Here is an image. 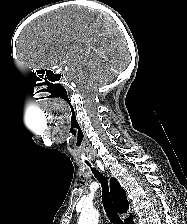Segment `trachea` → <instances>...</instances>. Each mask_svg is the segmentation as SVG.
Wrapping results in <instances>:
<instances>
[{"mask_svg":"<svg viewBox=\"0 0 187 224\" xmlns=\"http://www.w3.org/2000/svg\"><path fill=\"white\" fill-rule=\"evenodd\" d=\"M88 166L91 167L89 162H86ZM94 176L98 179L102 187V202L104 209L107 213V216L112 224H123L120 216L117 213V210L111 200L110 193H109V186L108 181L96 168H91Z\"/></svg>","mask_w":187,"mask_h":224,"instance_id":"3493384b","label":"trachea"}]
</instances>
